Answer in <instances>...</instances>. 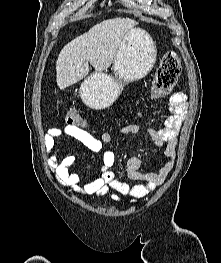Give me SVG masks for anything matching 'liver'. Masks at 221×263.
I'll return each instance as SVG.
<instances>
[{"label": "liver", "instance_id": "6515ba94", "mask_svg": "<svg viewBox=\"0 0 221 263\" xmlns=\"http://www.w3.org/2000/svg\"><path fill=\"white\" fill-rule=\"evenodd\" d=\"M138 22L118 17L104 20L67 43L56 61V82L65 89L89 73V62L97 72L108 69L122 39Z\"/></svg>", "mask_w": 221, "mask_h": 263}]
</instances>
